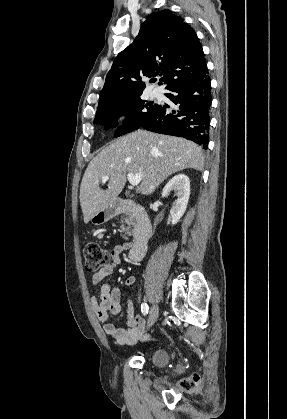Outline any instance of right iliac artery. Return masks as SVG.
<instances>
[{"mask_svg": "<svg viewBox=\"0 0 287 419\" xmlns=\"http://www.w3.org/2000/svg\"><path fill=\"white\" fill-rule=\"evenodd\" d=\"M141 310L144 315L148 314L149 307L146 303L141 304Z\"/></svg>", "mask_w": 287, "mask_h": 419, "instance_id": "right-iliac-artery-1", "label": "right iliac artery"}]
</instances>
